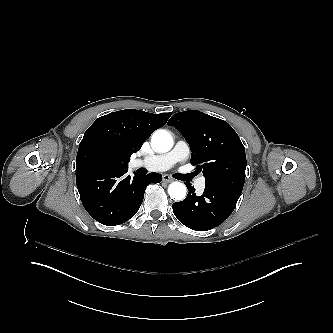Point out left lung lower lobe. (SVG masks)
<instances>
[{"mask_svg":"<svg viewBox=\"0 0 333 333\" xmlns=\"http://www.w3.org/2000/svg\"><path fill=\"white\" fill-rule=\"evenodd\" d=\"M187 197L173 204L176 218L186 227L195 231H207L219 226L233 212L242 190L218 185H205L201 196L194 187L185 183Z\"/></svg>","mask_w":333,"mask_h":333,"instance_id":"1","label":"left lung lower lobe"}]
</instances>
